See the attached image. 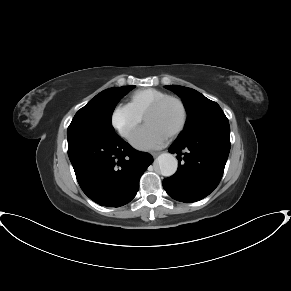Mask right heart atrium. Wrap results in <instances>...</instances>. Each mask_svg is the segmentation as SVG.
Returning <instances> with one entry per match:
<instances>
[{
  "mask_svg": "<svg viewBox=\"0 0 291 291\" xmlns=\"http://www.w3.org/2000/svg\"><path fill=\"white\" fill-rule=\"evenodd\" d=\"M141 121L142 116L129 104H118L112 111L111 124L119 135L126 139L131 138Z\"/></svg>",
  "mask_w": 291,
  "mask_h": 291,
  "instance_id": "right-heart-atrium-1",
  "label": "right heart atrium"
}]
</instances>
